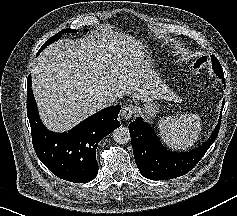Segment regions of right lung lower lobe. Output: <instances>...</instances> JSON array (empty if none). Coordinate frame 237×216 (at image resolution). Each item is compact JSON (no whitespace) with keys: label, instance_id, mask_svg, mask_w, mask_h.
I'll use <instances>...</instances> for the list:
<instances>
[{"label":"right lung lower lobe","instance_id":"1","mask_svg":"<svg viewBox=\"0 0 237 216\" xmlns=\"http://www.w3.org/2000/svg\"><path fill=\"white\" fill-rule=\"evenodd\" d=\"M121 106H111L88 117L64 134L48 131L42 124L27 79V115L31 126L34 150L42 163L57 177L75 183L93 180L98 173V143L120 127L117 120Z\"/></svg>","mask_w":237,"mask_h":216}]
</instances>
